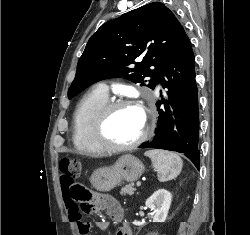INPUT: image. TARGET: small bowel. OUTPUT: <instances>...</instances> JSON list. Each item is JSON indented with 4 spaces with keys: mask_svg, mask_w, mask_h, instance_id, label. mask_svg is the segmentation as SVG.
Here are the masks:
<instances>
[{
    "mask_svg": "<svg viewBox=\"0 0 250 235\" xmlns=\"http://www.w3.org/2000/svg\"><path fill=\"white\" fill-rule=\"evenodd\" d=\"M63 201L68 214L69 219L75 222L78 227L79 235H88L90 225L88 222L82 219L81 213L78 209V203L72 198L70 188L65 185L62 188ZM99 206L102 208L112 219L121 221L123 217V210L119 202L110 197H102L99 200ZM90 210H84L88 213ZM98 228L105 229L107 223L105 221H99L97 223ZM116 235H133L132 229L128 224L123 223L118 227Z\"/></svg>",
    "mask_w": 250,
    "mask_h": 235,
    "instance_id": "1",
    "label": "small bowel"
}]
</instances>
